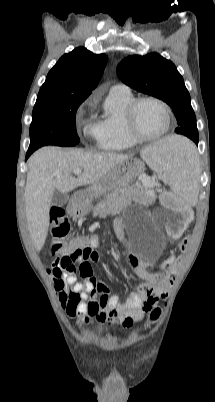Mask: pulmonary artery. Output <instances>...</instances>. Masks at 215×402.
<instances>
[{
    "label": "pulmonary artery",
    "instance_id": "pulmonary-artery-1",
    "mask_svg": "<svg viewBox=\"0 0 215 402\" xmlns=\"http://www.w3.org/2000/svg\"><path fill=\"white\" fill-rule=\"evenodd\" d=\"M111 90L126 91V90H129V88H128L126 85H124V84H116V85H114V86L111 88Z\"/></svg>",
    "mask_w": 215,
    "mask_h": 402
}]
</instances>
